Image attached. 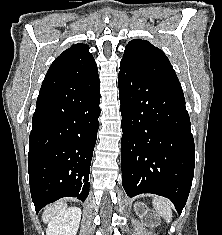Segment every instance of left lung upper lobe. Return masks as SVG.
I'll list each match as a JSON object with an SVG mask.
<instances>
[{"mask_svg": "<svg viewBox=\"0 0 222 235\" xmlns=\"http://www.w3.org/2000/svg\"><path fill=\"white\" fill-rule=\"evenodd\" d=\"M121 63L181 88L177 75L164 52L146 40H131L125 47Z\"/></svg>", "mask_w": 222, "mask_h": 235, "instance_id": "5c2ea615", "label": "left lung upper lobe"}]
</instances>
